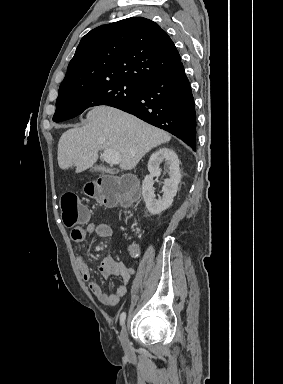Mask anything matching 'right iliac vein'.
I'll return each mask as SVG.
<instances>
[{"mask_svg": "<svg viewBox=\"0 0 283 384\" xmlns=\"http://www.w3.org/2000/svg\"><path fill=\"white\" fill-rule=\"evenodd\" d=\"M120 341H121V345H122L124 352L128 356H131L133 354V349H132L131 343H130L129 338H128L126 325H124L122 328V331L120 334Z\"/></svg>", "mask_w": 283, "mask_h": 384, "instance_id": "right-iliac-vein-1", "label": "right iliac vein"}]
</instances>
